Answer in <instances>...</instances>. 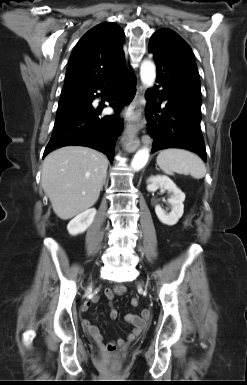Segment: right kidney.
I'll return each mask as SVG.
<instances>
[{
  "instance_id": "1",
  "label": "right kidney",
  "mask_w": 247,
  "mask_h": 385,
  "mask_svg": "<svg viewBox=\"0 0 247 385\" xmlns=\"http://www.w3.org/2000/svg\"><path fill=\"white\" fill-rule=\"evenodd\" d=\"M96 215V209L91 208L77 215L67 225V230L70 235H78L85 232L92 224Z\"/></svg>"
}]
</instances>
